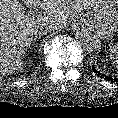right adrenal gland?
Wrapping results in <instances>:
<instances>
[{
  "mask_svg": "<svg viewBox=\"0 0 118 118\" xmlns=\"http://www.w3.org/2000/svg\"><path fill=\"white\" fill-rule=\"evenodd\" d=\"M41 36H42V33L35 34V37L33 39V43H35L37 41V39L40 38Z\"/></svg>",
  "mask_w": 118,
  "mask_h": 118,
  "instance_id": "1",
  "label": "right adrenal gland"
}]
</instances>
